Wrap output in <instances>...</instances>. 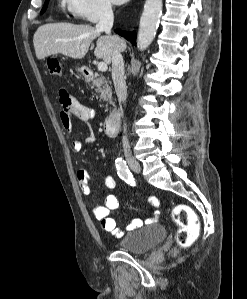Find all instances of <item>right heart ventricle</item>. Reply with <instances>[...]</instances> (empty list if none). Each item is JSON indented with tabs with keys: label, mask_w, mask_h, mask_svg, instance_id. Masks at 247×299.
Instances as JSON below:
<instances>
[{
	"label": "right heart ventricle",
	"mask_w": 247,
	"mask_h": 299,
	"mask_svg": "<svg viewBox=\"0 0 247 299\" xmlns=\"http://www.w3.org/2000/svg\"><path fill=\"white\" fill-rule=\"evenodd\" d=\"M60 6L62 7L63 10L72 12L74 2L73 0H60Z\"/></svg>",
	"instance_id": "e07e8e85"
}]
</instances>
